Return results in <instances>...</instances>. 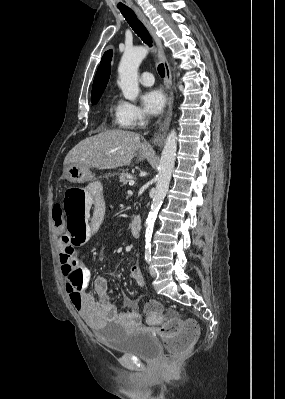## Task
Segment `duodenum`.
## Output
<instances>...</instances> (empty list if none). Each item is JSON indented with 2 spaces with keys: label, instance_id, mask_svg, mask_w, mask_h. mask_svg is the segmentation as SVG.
I'll return each instance as SVG.
<instances>
[{
  "label": "duodenum",
  "instance_id": "410a0bca",
  "mask_svg": "<svg viewBox=\"0 0 285 399\" xmlns=\"http://www.w3.org/2000/svg\"><path fill=\"white\" fill-rule=\"evenodd\" d=\"M131 233L134 239L139 240L141 237L142 220L139 215H136L130 224Z\"/></svg>",
  "mask_w": 285,
  "mask_h": 399
}]
</instances>
